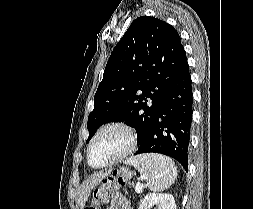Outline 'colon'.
Masks as SVG:
<instances>
[{
    "instance_id": "obj_1",
    "label": "colon",
    "mask_w": 253,
    "mask_h": 209,
    "mask_svg": "<svg viewBox=\"0 0 253 209\" xmlns=\"http://www.w3.org/2000/svg\"><path fill=\"white\" fill-rule=\"evenodd\" d=\"M129 177L130 175L128 172L118 171L114 177H108L105 179L101 186L94 190L93 201L85 209H99V203L103 200L106 191L116 184L125 183Z\"/></svg>"
}]
</instances>
